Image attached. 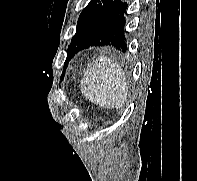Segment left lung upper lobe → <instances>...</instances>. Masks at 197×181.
<instances>
[{"mask_svg":"<svg viewBox=\"0 0 197 181\" xmlns=\"http://www.w3.org/2000/svg\"><path fill=\"white\" fill-rule=\"evenodd\" d=\"M112 1L113 0H91L83 9L78 19L76 33L68 46L65 68L73 56L85 45Z\"/></svg>","mask_w":197,"mask_h":181,"instance_id":"1","label":"left lung upper lobe"}]
</instances>
